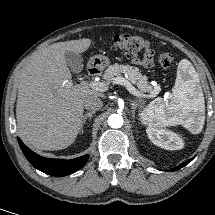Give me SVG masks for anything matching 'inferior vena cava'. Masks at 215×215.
<instances>
[{"mask_svg":"<svg viewBox=\"0 0 215 215\" xmlns=\"http://www.w3.org/2000/svg\"><path fill=\"white\" fill-rule=\"evenodd\" d=\"M84 107L89 111H97L103 106V102L97 96H88L84 99Z\"/></svg>","mask_w":215,"mask_h":215,"instance_id":"obj_1","label":"inferior vena cava"}]
</instances>
